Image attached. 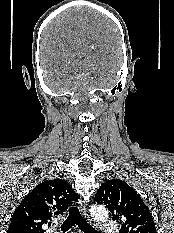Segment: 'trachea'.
<instances>
[{
  "mask_svg": "<svg viewBox=\"0 0 174 233\" xmlns=\"http://www.w3.org/2000/svg\"><path fill=\"white\" fill-rule=\"evenodd\" d=\"M75 224L78 225L79 229L84 233H98L80 214V211L77 207H70L69 215L67 219L61 225V230L63 232L68 231Z\"/></svg>",
  "mask_w": 174,
  "mask_h": 233,
  "instance_id": "obj_1",
  "label": "trachea"
}]
</instances>
